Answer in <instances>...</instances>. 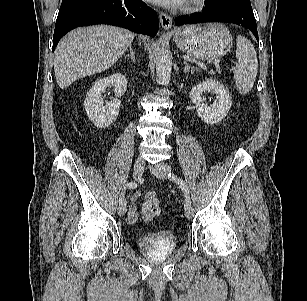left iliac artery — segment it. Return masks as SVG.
Masks as SVG:
<instances>
[{
    "mask_svg": "<svg viewBox=\"0 0 307 301\" xmlns=\"http://www.w3.org/2000/svg\"><path fill=\"white\" fill-rule=\"evenodd\" d=\"M168 177H169L170 180L175 181L182 188V190L185 192L186 199H185L184 207L186 208L188 205H191V200H190V197H189V190H188V186H187L186 182L182 178L174 175L173 173H169Z\"/></svg>",
    "mask_w": 307,
    "mask_h": 301,
    "instance_id": "obj_1",
    "label": "left iliac artery"
}]
</instances>
